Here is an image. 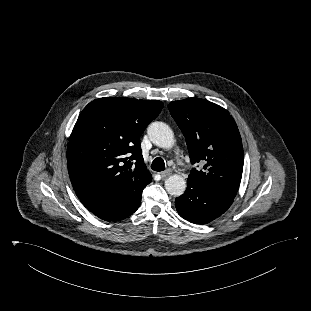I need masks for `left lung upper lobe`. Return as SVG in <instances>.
<instances>
[{"label":"left lung upper lobe","mask_w":311,"mask_h":311,"mask_svg":"<svg viewBox=\"0 0 311 311\" xmlns=\"http://www.w3.org/2000/svg\"><path fill=\"white\" fill-rule=\"evenodd\" d=\"M169 111L185 136L195 178L215 191L235 198L243 171L242 140L233 117L221 106L188 98L169 104Z\"/></svg>","instance_id":"1"}]
</instances>
